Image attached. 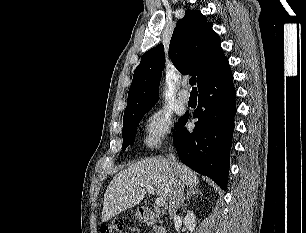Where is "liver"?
Segmentation results:
<instances>
[{"mask_svg":"<svg viewBox=\"0 0 306 233\" xmlns=\"http://www.w3.org/2000/svg\"><path fill=\"white\" fill-rule=\"evenodd\" d=\"M180 165V176L189 187L199 183L197 174L185 165ZM177 179L172 163L165 158L141 160L119 172L107 187L104 195L102 222L139 204L146 191L141 184L154 186L156 194L169 200Z\"/></svg>","mask_w":306,"mask_h":233,"instance_id":"obj_1","label":"liver"}]
</instances>
